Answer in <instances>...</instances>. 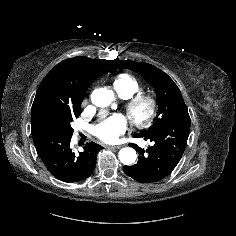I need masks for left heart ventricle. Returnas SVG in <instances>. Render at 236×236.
Instances as JSON below:
<instances>
[{
  "mask_svg": "<svg viewBox=\"0 0 236 236\" xmlns=\"http://www.w3.org/2000/svg\"><path fill=\"white\" fill-rule=\"evenodd\" d=\"M144 107H140L139 109H138V114H142L143 112H144Z\"/></svg>",
  "mask_w": 236,
  "mask_h": 236,
  "instance_id": "left-heart-ventricle-1",
  "label": "left heart ventricle"
}]
</instances>
